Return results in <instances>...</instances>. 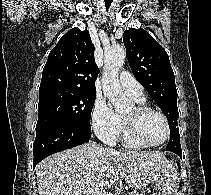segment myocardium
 <instances>
[{
	"instance_id": "myocardium-1",
	"label": "myocardium",
	"mask_w": 211,
	"mask_h": 195,
	"mask_svg": "<svg viewBox=\"0 0 211 195\" xmlns=\"http://www.w3.org/2000/svg\"><path fill=\"white\" fill-rule=\"evenodd\" d=\"M136 114L138 117L144 116L148 113H156L158 114L164 121L165 126H166V136L165 138L158 143H149L144 141L141 136L139 135L138 132V127H137V121L134 119H128L124 117V125H125V130L128 136L138 145L141 147H158L162 144H164L170 137L171 133V128H170V123L167 118V116L159 109L147 106V105H138L135 107Z\"/></svg>"
}]
</instances>
